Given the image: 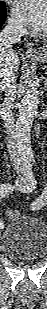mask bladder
Wrapping results in <instances>:
<instances>
[{
  "label": "bladder",
  "mask_w": 47,
  "mask_h": 309,
  "mask_svg": "<svg viewBox=\"0 0 47 309\" xmlns=\"http://www.w3.org/2000/svg\"><path fill=\"white\" fill-rule=\"evenodd\" d=\"M0 250L11 259H37L46 255L47 226L37 217L16 215L0 237Z\"/></svg>",
  "instance_id": "bladder-1"
}]
</instances>
